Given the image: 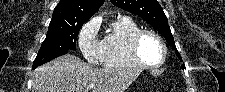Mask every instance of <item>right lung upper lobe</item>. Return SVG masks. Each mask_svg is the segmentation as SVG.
Returning <instances> with one entry per match:
<instances>
[{"label":"right lung upper lobe","mask_w":225,"mask_h":92,"mask_svg":"<svg viewBox=\"0 0 225 92\" xmlns=\"http://www.w3.org/2000/svg\"><path fill=\"white\" fill-rule=\"evenodd\" d=\"M105 0H60L49 26L66 25L73 21H87Z\"/></svg>","instance_id":"right-lung-upper-lobe-1"}]
</instances>
